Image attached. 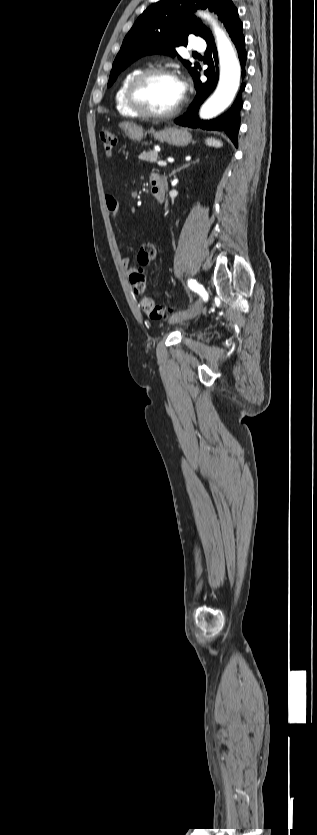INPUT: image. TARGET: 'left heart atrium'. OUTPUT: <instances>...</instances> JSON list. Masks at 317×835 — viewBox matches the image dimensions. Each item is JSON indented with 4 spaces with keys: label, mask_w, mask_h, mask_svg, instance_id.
I'll use <instances>...</instances> for the list:
<instances>
[{
    "label": "left heart atrium",
    "mask_w": 317,
    "mask_h": 835,
    "mask_svg": "<svg viewBox=\"0 0 317 835\" xmlns=\"http://www.w3.org/2000/svg\"><path fill=\"white\" fill-rule=\"evenodd\" d=\"M177 84H178V91H179L180 97L182 98L183 94L186 91V84L183 81H180V80H177Z\"/></svg>",
    "instance_id": "obj_1"
}]
</instances>
